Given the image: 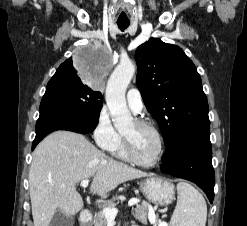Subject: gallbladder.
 I'll return each instance as SVG.
<instances>
[{
	"label": "gallbladder",
	"instance_id": "obj_1",
	"mask_svg": "<svg viewBox=\"0 0 247 226\" xmlns=\"http://www.w3.org/2000/svg\"><path fill=\"white\" fill-rule=\"evenodd\" d=\"M73 225H74L73 216H67L62 211L57 210L49 226H73Z\"/></svg>",
	"mask_w": 247,
	"mask_h": 226
}]
</instances>
